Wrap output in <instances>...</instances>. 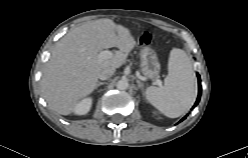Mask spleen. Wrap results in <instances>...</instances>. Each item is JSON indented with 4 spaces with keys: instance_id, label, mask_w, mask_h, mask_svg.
Here are the masks:
<instances>
[{
    "instance_id": "1",
    "label": "spleen",
    "mask_w": 248,
    "mask_h": 158,
    "mask_svg": "<svg viewBox=\"0 0 248 158\" xmlns=\"http://www.w3.org/2000/svg\"><path fill=\"white\" fill-rule=\"evenodd\" d=\"M196 76L187 54L178 48L170 52L168 75L164 86H150L145 91L146 99L161 113L170 118L185 114L197 96Z\"/></svg>"
}]
</instances>
